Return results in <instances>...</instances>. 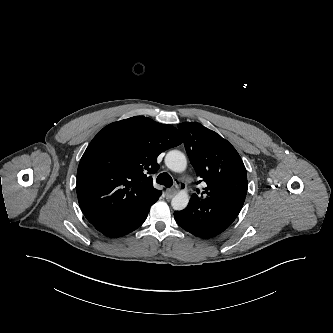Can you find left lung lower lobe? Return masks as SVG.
<instances>
[{
	"instance_id": "left-lung-lower-lobe-1",
	"label": "left lung lower lobe",
	"mask_w": 333,
	"mask_h": 333,
	"mask_svg": "<svg viewBox=\"0 0 333 333\" xmlns=\"http://www.w3.org/2000/svg\"><path fill=\"white\" fill-rule=\"evenodd\" d=\"M245 197L240 190L222 191L205 198L191 197L184 210L174 212V218L180 227L191 234L211 238L232 224Z\"/></svg>"
}]
</instances>
